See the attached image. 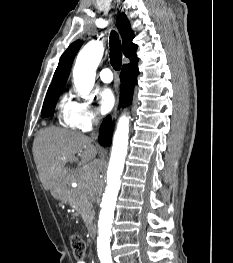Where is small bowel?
I'll return each instance as SVG.
<instances>
[{"label":"small bowel","mask_w":233,"mask_h":263,"mask_svg":"<svg viewBox=\"0 0 233 263\" xmlns=\"http://www.w3.org/2000/svg\"><path fill=\"white\" fill-rule=\"evenodd\" d=\"M76 263H87L85 260H78Z\"/></svg>","instance_id":"small-bowel-1"}]
</instances>
